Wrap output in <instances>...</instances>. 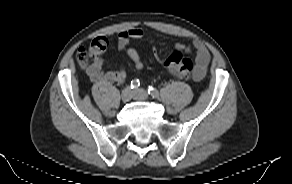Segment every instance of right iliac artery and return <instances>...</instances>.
<instances>
[{"instance_id":"82829eb1","label":"right iliac artery","mask_w":292,"mask_h":184,"mask_svg":"<svg viewBox=\"0 0 292 184\" xmlns=\"http://www.w3.org/2000/svg\"><path fill=\"white\" fill-rule=\"evenodd\" d=\"M139 86H140V81H139V79H134V80H132L131 83H130V87H131L132 89H136V88H138Z\"/></svg>"}]
</instances>
